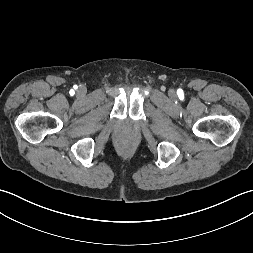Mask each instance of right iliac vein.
<instances>
[{
  "instance_id": "1",
  "label": "right iliac vein",
  "mask_w": 253,
  "mask_h": 253,
  "mask_svg": "<svg viewBox=\"0 0 253 253\" xmlns=\"http://www.w3.org/2000/svg\"><path fill=\"white\" fill-rule=\"evenodd\" d=\"M84 94H85V89L84 88H80L78 90V95L83 96Z\"/></svg>"
}]
</instances>
